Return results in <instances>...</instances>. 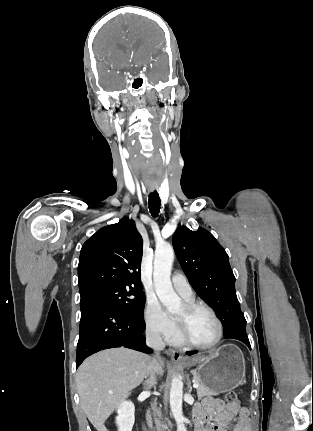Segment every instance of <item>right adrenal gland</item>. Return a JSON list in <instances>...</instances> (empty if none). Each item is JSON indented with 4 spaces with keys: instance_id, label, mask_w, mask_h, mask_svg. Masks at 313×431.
<instances>
[{
    "instance_id": "1",
    "label": "right adrenal gland",
    "mask_w": 313,
    "mask_h": 431,
    "mask_svg": "<svg viewBox=\"0 0 313 431\" xmlns=\"http://www.w3.org/2000/svg\"><path fill=\"white\" fill-rule=\"evenodd\" d=\"M154 382L153 377H150L149 379H146L144 382H142L143 388L146 389Z\"/></svg>"
}]
</instances>
